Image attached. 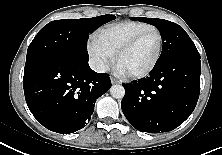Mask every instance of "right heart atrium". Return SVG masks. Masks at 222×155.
I'll use <instances>...</instances> for the list:
<instances>
[{"label": "right heart atrium", "instance_id": "obj_1", "mask_svg": "<svg viewBox=\"0 0 222 155\" xmlns=\"http://www.w3.org/2000/svg\"><path fill=\"white\" fill-rule=\"evenodd\" d=\"M87 49L92 66L98 72L106 70L113 61L114 53L106 47L96 34L89 38Z\"/></svg>", "mask_w": 222, "mask_h": 155}]
</instances>
